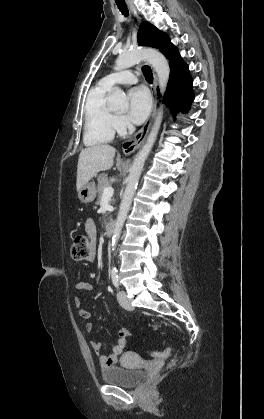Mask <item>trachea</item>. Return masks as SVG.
Instances as JSON below:
<instances>
[{"instance_id":"1","label":"trachea","mask_w":264,"mask_h":419,"mask_svg":"<svg viewBox=\"0 0 264 419\" xmlns=\"http://www.w3.org/2000/svg\"><path fill=\"white\" fill-rule=\"evenodd\" d=\"M117 6H118V8H119V10L121 11V13L124 15V16H128V9H127V6L125 5V4H119V3H117ZM142 72H143V74H144V76H145V78H146V80L149 82V83H152V81H153V74H152V71H151V69H150V67L149 66H143L142 67Z\"/></svg>"}]
</instances>
